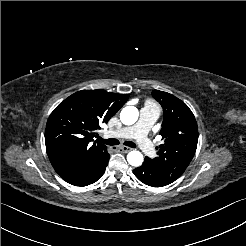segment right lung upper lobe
I'll return each instance as SVG.
<instances>
[{
	"label": "right lung upper lobe",
	"mask_w": 246,
	"mask_h": 246,
	"mask_svg": "<svg viewBox=\"0 0 246 246\" xmlns=\"http://www.w3.org/2000/svg\"><path fill=\"white\" fill-rule=\"evenodd\" d=\"M129 95L102 89L78 91L51 113L45 130V144L52 165L89 162L106 150L94 141L99 123L109 119L127 102Z\"/></svg>",
	"instance_id": "1"
}]
</instances>
